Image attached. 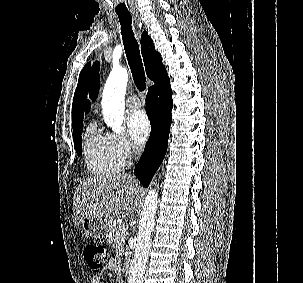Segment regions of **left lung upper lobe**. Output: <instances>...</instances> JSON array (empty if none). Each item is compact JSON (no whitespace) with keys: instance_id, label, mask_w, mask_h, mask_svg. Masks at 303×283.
Instances as JSON below:
<instances>
[{"instance_id":"1","label":"left lung upper lobe","mask_w":303,"mask_h":283,"mask_svg":"<svg viewBox=\"0 0 303 283\" xmlns=\"http://www.w3.org/2000/svg\"><path fill=\"white\" fill-rule=\"evenodd\" d=\"M94 68H97L99 70L98 62H95ZM92 80L93 81H92L91 87H90V98L92 100H95L97 97L98 90H99V77L98 76L96 77L94 74V77L92 78ZM89 109H90V102H88L86 113L89 111Z\"/></svg>"}]
</instances>
